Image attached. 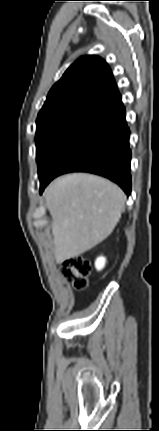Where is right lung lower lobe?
I'll use <instances>...</instances> for the list:
<instances>
[{
	"label": "right lung lower lobe",
	"mask_w": 159,
	"mask_h": 431,
	"mask_svg": "<svg viewBox=\"0 0 159 431\" xmlns=\"http://www.w3.org/2000/svg\"><path fill=\"white\" fill-rule=\"evenodd\" d=\"M129 136L123 104L87 120L69 133L48 158L39 174L40 193L58 175L89 172L112 180L130 195Z\"/></svg>",
	"instance_id": "right-lung-lower-lobe-1"
}]
</instances>
